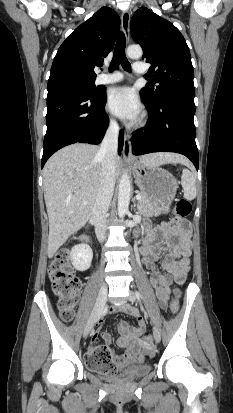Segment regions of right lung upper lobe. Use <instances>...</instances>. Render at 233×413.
<instances>
[{
  "mask_svg": "<svg viewBox=\"0 0 233 413\" xmlns=\"http://www.w3.org/2000/svg\"><path fill=\"white\" fill-rule=\"evenodd\" d=\"M120 18L109 7H102L77 27L59 47L52 63L49 81L63 77H96L95 67L113 49Z\"/></svg>",
  "mask_w": 233,
  "mask_h": 413,
  "instance_id": "right-lung-upper-lobe-1",
  "label": "right lung upper lobe"
}]
</instances>
